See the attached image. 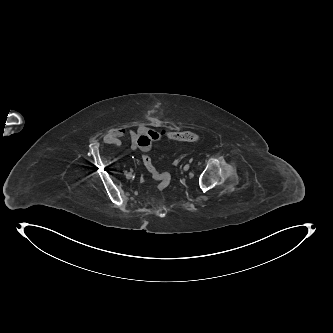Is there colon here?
Here are the masks:
<instances>
[{"label": "colon", "instance_id": "1", "mask_svg": "<svg viewBox=\"0 0 333 333\" xmlns=\"http://www.w3.org/2000/svg\"><path fill=\"white\" fill-rule=\"evenodd\" d=\"M169 140L172 141H185V142H197L199 141V135L191 131L184 132H165L162 131ZM144 166L151 174L152 178L157 182V188L160 191L166 190L171 183V177L167 173L158 171L152 163V159L149 155H143L142 157Z\"/></svg>", "mask_w": 333, "mask_h": 333}]
</instances>
